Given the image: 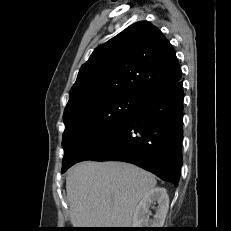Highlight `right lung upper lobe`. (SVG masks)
Instances as JSON below:
<instances>
[{
	"instance_id": "cb5924a9",
	"label": "right lung upper lobe",
	"mask_w": 231,
	"mask_h": 231,
	"mask_svg": "<svg viewBox=\"0 0 231 231\" xmlns=\"http://www.w3.org/2000/svg\"><path fill=\"white\" fill-rule=\"evenodd\" d=\"M181 76L170 42L157 27L140 21L94 49L79 70L64 115L118 96L137 97Z\"/></svg>"
}]
</instances>
